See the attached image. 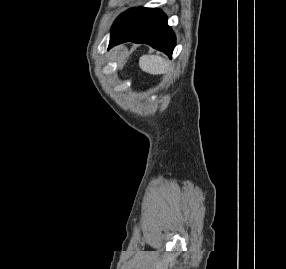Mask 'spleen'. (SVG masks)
<instances>
[{"label":"spleen","instance_id":"1","mask_svg":"<svg viewBox=\"0 0 286 269\" xmlns=\"http://www.w3.org/2000/svg\"><path fill=\"white\" fill-rule=\"evenodd\" d=\"M139 66L144 72L154 75L163 74L169 68L168 63L156 55H143L139 60Z\"/></svg>","mask_w":286,"mask_h":269}]
</instances>
